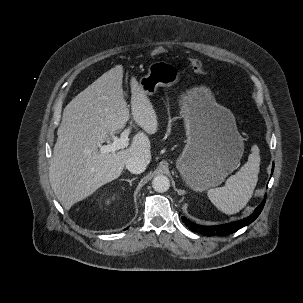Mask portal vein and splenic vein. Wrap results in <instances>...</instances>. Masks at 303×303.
I'll return each mask as SVG.
<instances>
[{
	"instance_id": "18ae733b",
	"label": "portal vein and splenic vein",
	"mask_w": 303,
	"mask_h": 303,
	"mask_svg": "<svg viewBox=\"0 0 303 303\" xmlns=\"http://www.w3.org/2000/svg\"><path fill=\"white\" fill-rule=\"evenodd\" d=\"M131 131V128L125 129L122 133L120 138L112 135L113 142L107 145H100L99 146V151L101 153H114L119 149H124L129 145V139L128 135Z\"/></svg>"
}]
</instances>
